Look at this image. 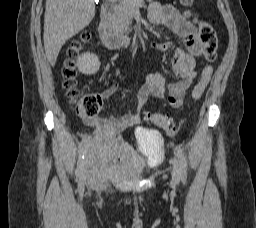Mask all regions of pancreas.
<instances>
[{"label":"pancreas","instance_id":"1","mask_svg":"<svg viewBox=\"0 0 256 228\" xmlns=\"http://www.w3.org/2000/svg\"><path fill=\"white\" fill-rule=\"evenodd\" d=\"M138 5L134 0H123L120 2L112 16V27L116 32L127 34L131 31L134 10Z\"/></svg>","mask_w":256,"mask_h":228}]
</instances>
